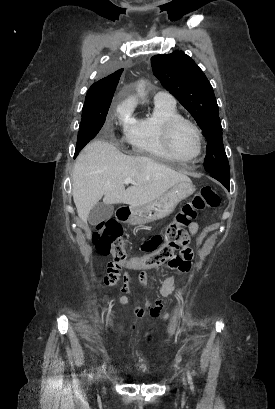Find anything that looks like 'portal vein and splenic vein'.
Wrapping results in <instances>:
<instances>
[{
    "mask_svg": "<svg viewBox=\"0 0 275 409\" xmlns=\"http://www.w3.org/2000/svg\"><path fill=\"white\" fill-rule=\"evenodd\" d=\"M124 182L125 184H129V182H132V184H137V182H135V180H133L131 176H127V178H124Z\"/></svg>",
    "mask_w": 275,
    "mask_h": 409,
    "instance_id": "1",
    "label": "portal vein and splenic vein"
}]
</instances>
